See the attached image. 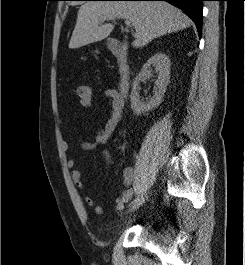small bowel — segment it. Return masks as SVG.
<instances>
[{"mask_svg": "<svg viewBox=\"0 0 245 265\" xmlns=\"http://www.w3.org/2000/svg\"><path fill=\"white\" fill-rule=\"evenodd\" d=\"M104 97L108 100L110 105V114L109 118L106 121L105 125L97 132L94 142H83L81 147L85 151L92 150L98 144H104L111 137L116 127L120 123L123 118L124 109H125V100L124 97L117 91L116 89L108 88L103 92ZM93 106V102L84 105L85 108H91ZM64 151L69 150V143L64 141L62 144ZM104 158L110 162V154L105 151L103 153ZM67 166L72 169L71 178L75 184V186L82 190L84 189V171L79 168H75V160L73 158H69L67 160ZM134 180V170L131 167H126L123 171V181L124 185L127 187L122 194L116 199L117 205L119 203L124 204L130 201L134 195V187L132 186V182ZM84 202L93 207V210L96 214H101L103 209L101 206L97 205L95 201L90 196H84Z\"/></svg>", "mask_w": 245, "mask_h": 265, "instance_id": "c3829d8e", "label": "small bowel"}]
</instances>
